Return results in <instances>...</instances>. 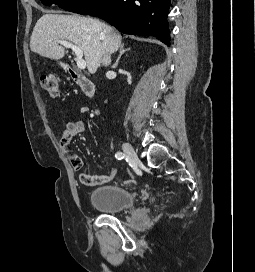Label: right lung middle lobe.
Instances as JSON below:
<instances>
[{
  "instance_id": "obj_1",
  "label": "right lung middle lobe",
  "mask_w": 255,
  "mask_h": 272,
  "mask_svg": "<svg viewBox=\"0 0 255 272\" xmlns=\"http://www.w3.org/2000/svg\"><path fill=\"white\" fill-rule=\"evenodd\" d=\"M44 5H58L64 10L87 15L100 0H41Z\"/></svg>"
}]
</instances>
